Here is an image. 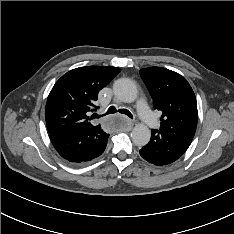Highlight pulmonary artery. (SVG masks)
Returning <instances> with one entry per match:
<instances>
[{"label":"pulmonary artery","instance_id":"pulmonary-artery-1","mask_svg":"<svg viewBox=\"0 0 234 234\" xmlns=\"http://www.w3.org/2000/svg\"><path fill=\"white\" fill-rule=\"evenodd\" d=\"M136 107H137L138 114L141 120L143 121L144 125L148 129L156 128L158 124L157 119L154 116V114L151 112V110L149 109L147 102L143 98H141L138 100Z\"/></svg>","mask_w":234,"mask_h":234}]
</instances>
